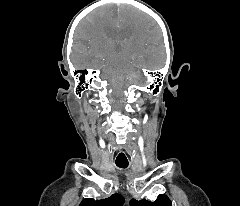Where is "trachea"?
Masks as SVG:
<instances>
[{
    "label": "trachea",
    "instance_id": "obj_1",
    "mask_svg": "<svg viewBox=\"0 0 240 206\" xmlns=\"http://www.w3.org/2000/svg\"><path fill=\"white\" fill-rule=\"evenodd\" d=\"M116 165L120 168H127L128 162H116Z\"/></svg>",
    "mask_w": 240,
    "mask_h": 206
}]
</instances>
